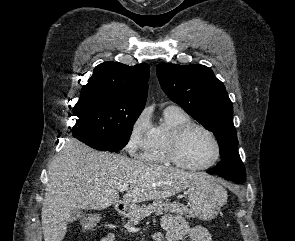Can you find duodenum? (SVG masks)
<instances>
[{
  "instance_id": "410a0bca",
  "label": "duodenum",
  "mask_w": 295,
  "mask_h": 241,
  "mask_svg": "<svg viewBox=\"0 0 295 241\" xmlns=\"http://www.w3.org/2000/svg\"><path fill=\"white\" fill-rule=\"evenodd\" d=\"M115 210L118 214H124L126 211V205L122 202L116 203L115 204Z\"/></svg>"
}]
</instances>
